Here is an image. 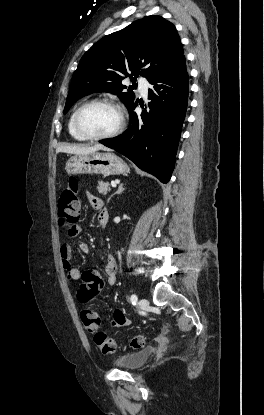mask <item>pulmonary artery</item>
Returning a JSON list of instances; mask_svg holds the SVG:
<instances>
[{
    "label": "pulmonary artery",
    "mask_w": 264,
    "mask_h": 415,
    "mask_svg": "<svg viewBox=\"0 0 264 415\" xmlns=\"http://www.w3.org/2000/svg\"><path fill=\"white\" fill-rule=\"evenodd\" d=\"M139 91L141 95L145 96L148 92V83L145 79L138 80Z\"/></svg>",
    "instance_id": "e3ab8cb5"
}]
</instances>
